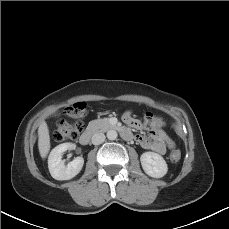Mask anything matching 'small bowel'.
I'll return each mask as SVG.
<instances>
[{
    "instance_id": "1",
    "label": "small bowel",
    "mask_w": 229,
    "mask_h": 229,
    "mask_svg": "<svg viewBox=\"0 0 229 229\" xmlns=\"http://www.w3.org/2000/svg\"><path fill=\"white\" fill-rule=\"evenodd\" d=\"M145 119H152L154 123L153 129H151L148 136L136 135L134 139L142 148L164 155L167 149L173 146V142L162 129L165 125L164 120L151 113H147ZM123 121L130 128H139L141 126V123L133 117L130 111L123 114Z\"/></svg>"
}]
</instances>
